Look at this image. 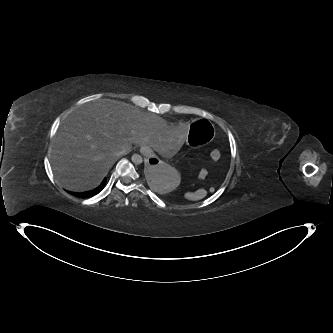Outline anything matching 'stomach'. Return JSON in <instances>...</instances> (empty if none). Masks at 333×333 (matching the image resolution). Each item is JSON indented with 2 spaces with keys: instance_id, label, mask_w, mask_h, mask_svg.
Here are the masks:
<instances>
[{
  "instance_id": "0dacf381",
  "label": "stomach",
  "mask_w": 333,
  "mask_h": 333,
  "mask_svg": "<svg viewBox=\"0 0 333 333\" xmlns=\"http://www.w3.org/2000/svg\"><path fill=\"white\" fill-rule=\"evenodd\" d=\"M212 123L206 119H198L191 124V131L186 138V144L190 147H199L204 143H210L215 138L216 132ZM147 157L149 165L145 169L146 184L157 193H167L176 188L180 182V173L172 166L158 162L157 157L147 152V146L141 145Z\"/></svg>"
}]
</instances>
